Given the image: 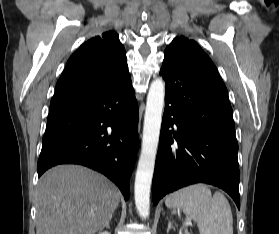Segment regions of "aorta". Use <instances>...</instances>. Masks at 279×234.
I'll use <instances>...</instances> for the list:
<instances>
[{"instance_id":"762f6f07","label":"aorta","mask_w":279,"mask_h":234,"mask_svg":"<svg viewBox=\"0 0 279 234\" xmlns=\"http://www.w3.org/2000/svg\"><path fill=\"white\" fill-rule=\"evenodd\" d=\"M164 98V81L162 78L154 79L147 95L141 154L134 186L136 208L144 219L148 218L150 213V189L159 144Z\"/></svg>"}]
</instances>
